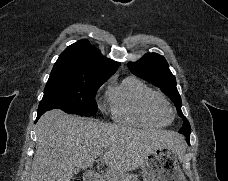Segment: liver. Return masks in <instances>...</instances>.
I'll return each instance as SVG.
<instances>
[{"mask_svg": "<svg viewBox=\"0 0 228 181\" xmlns=\"http://www.w3.org/2000/svg\"><path fill=\"white\" fill-rule=\"evenodd\" d=\"M29 181H71L78 169L92 167L96 153L108 149L103 163L114 171H135L153 149L171 147L177 155L185 149L184 137L158 129H132L71 117L53 109L40 117Z\"/></svg>", "mask_w": 228, "mask_h": 181, "instance_id": "liver-1", "label": "liver"}]
</instances>
